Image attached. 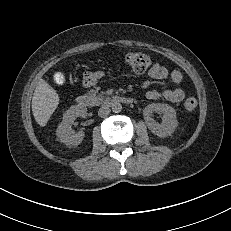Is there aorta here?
<instances>
[{
    "mask_svg": "<svg viewBox=\"0 0 231 231\" xmlns=\"http://www.w3.org/2000/svg\"><path fill=\"white\" fill-rule=\"evenodd\" d=\"M111 107H112V111L115 113H118L122 110V105L118 101L113 102Z\"/></svg>",
    "mask_w": 231,
    "mask_h": 231,
    "instance_id": "obj_1",
    "label": "aorta"
}]
</instances>
